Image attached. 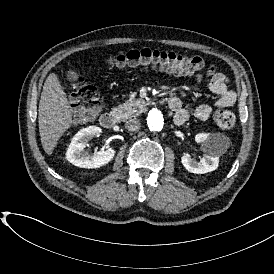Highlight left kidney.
Returning a JSON list of instances; mask_svg holds the SVG:
<instances>
[{
	"label": "left kidney",
	"mask_w": 274,
	"mask_h": 274,
	"mask_svg": "<svg viewBox=\"0 0 274 274\" xmlns=\"http://www.w3.org/2000/svg\"><path fill=\"white\" fill-rule=\"evenodd\" d=\"M195 142L205 152L204 158L196 161L189 154H185L181 159L182 165L186 170L194 174H204L216 170L219 164V157L225 153L227 148L223 134L197 133Z\"/></svg>",
	"instance_id": "obj_1"
}]
</instances>
